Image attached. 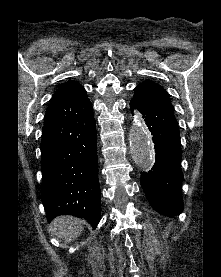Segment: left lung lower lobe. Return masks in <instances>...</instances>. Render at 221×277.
<instances>
[{
  "label": "left lung lower lobe",
  "mask_w": 221,
  "mask_h": 277,
  "mask_svg": "<svg viewBox=\"0 0 221 277\" xmlns=\"http://www.w3.org/2000/svg\"><path fill=\"white\" fill-rule=\"evenodd\" d=\"M131 110L138 109L153 135L156 161L152 169L141 173V186L151 206L166 216L183 209L181 184V144L178 123L171 112L143 86L134 88Z\"/></svg>",
  "instance_id": "left-lung-lower-lobe-1"
}]
</instances>
